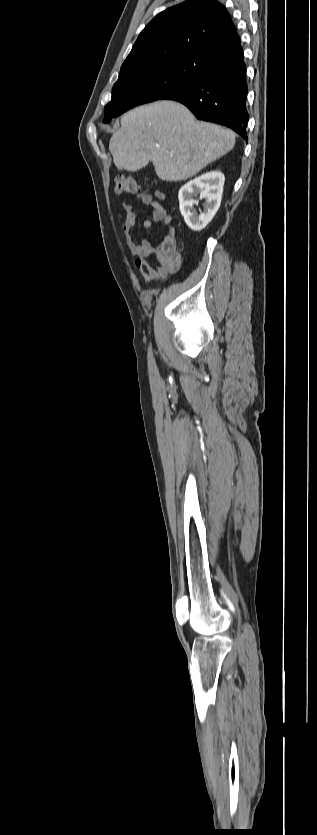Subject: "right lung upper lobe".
<instances>
[{"label": "right lung upper lobe", "instance_id": "right-lung-upper-lobe-1", "mask_svg": "<svg viewBox=\"0 0 317 835\" xmlns=\"http://www.w3.org/2000/svg\"><path fill=\"white\" fill-rule=\"evenodd\" d=\"M235 27L217 1L188 0L159 13L140 33L119 76L194 57L231 41Z\"/></svg>", "mask_w": 317, "mask_h": 835}]
</instances>
